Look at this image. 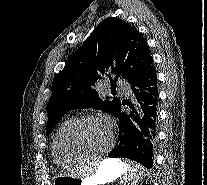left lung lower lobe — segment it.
Instances as JSON below:
<instances>
[{"instance_id": "obj_1", "label": "left lung lower lobe", "mask_w": 207, "mask_h": 185, "mask_svg": "<svg viewBox=\"0 0 207 185\" xmlns=\"http://www.w3.org/2000/svg\"><path fill=\"white\" fill-rule=\"evenodd\" d=\"M130 84L135 103L122 100L121 108L115 116L119 120L118 141L107 156L132 159L149 169L153 164L158 126L155 66L152 64ZM122 105L128 107L124 109Z\"/></svg>"}]
</instances>
